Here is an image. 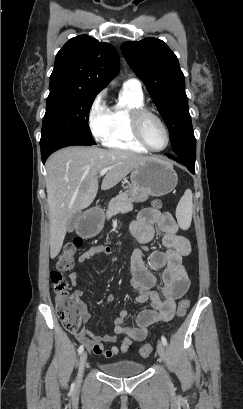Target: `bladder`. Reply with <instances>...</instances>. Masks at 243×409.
<instances>
[{
  "label": "bladder",
  "mask_w": 243,
  "mask_h": 409,
  "mask_svg": "<svg viewBox=\"0 0 243 409\" xmlns=\"http://www.w3.org/2000/svg\"><path fill=\"white\" fill-rule=\"evenodd\" d=\"M99 367L104 374L117 378H126L139 375L145 370L144 364H140L129 359L102 363L99 365Z\"/></svg>",
  "instance_id": "31cf9c89"
}]
</instances>
